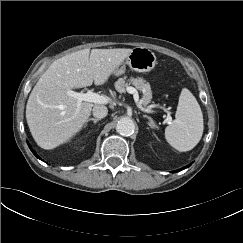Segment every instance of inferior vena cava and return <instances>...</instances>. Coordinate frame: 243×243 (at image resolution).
<instances>
[{"instance_id":"1","label":"inferior vena cava","mask_w":243,"mask_h":243,"mask_svg":"<svg viewBox=\"0 0 243 243\" xmlns=\"http://www.w3.org/2000/svg\"><path fill=\"white\" fill-rule=\"evenodd\" d=\"M92 111L93 115L98 119L104 118L108 114V109L104 105H95Z\"/></svg>"}]
</instances>
